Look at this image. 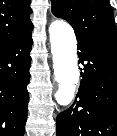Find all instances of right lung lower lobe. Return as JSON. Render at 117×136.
Segmentation results:
<instances>
[{"mask_svg":"<svg viewBox=\"0 0 117 136\" xmlns=\"http://www.w3.org/2000/svg\"><path fill=\"white\" fill-rule=\"evenodd\" d=\"M31 31L0 44V136H23L25 131Z\"/></svg>","mask_w":117,"mask_h":136,"instance_id":"1","label":"right lung lower lobe"}]
</instances>
